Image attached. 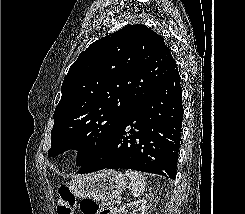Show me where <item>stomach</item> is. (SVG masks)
Returning <instances> with one entry per match:
<instances>
[{
    "mask_svg": "<svg viewBox=\"0 0 245 214\" xmlns=\"http://www.w3.org/2000/svg\"><path fill=\"white\" fill-rule=\"evenodd\" d=\"M126 177L122 173L105 169L94 174L80 175L70 183L72 193L81 199L111 202L125 190Z\"/></svg>",
    "mask_w": 245,
    "mask_h": 214,
    "instance_id": "1",
    "label": "stomach"
}]
</instances>
